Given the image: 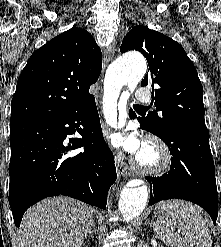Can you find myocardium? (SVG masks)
Returning <instances> with one entry per match:
<instances>
[{
    "instance_id": "1",
    "label": "myocardium",
    "mask_w": 221,
    "mask_h": 247,
    "mask_svg": "<svg viewBox=\"0 0 221 247\" xmlns=\"http://www.w3.org/2000/svg\"><path fill=\"white\" fill-rule=\"evenodd\" d=\"M142 149H149L154 159L147 162L139 153L133 160L134 166L148 175H162L167 173L173 165V154L170 146L157 136L149 137Z\"/></svg>"
}]
</instances>
